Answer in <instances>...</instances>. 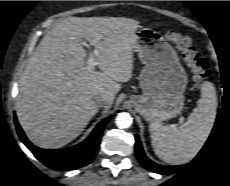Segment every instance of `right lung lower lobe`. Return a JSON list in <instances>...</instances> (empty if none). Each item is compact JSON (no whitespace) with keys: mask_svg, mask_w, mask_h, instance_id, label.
<instances>
[{"mask_svg":"<svg viewBox=\"0 0 230 186\" xmlns=\"http://www.w3.org/2000/svg\"><path fill=\"white\" fill-rule=\"evenodd\" d=\"M14 120L20 139L35 157L46 166L59 171L73 170L89 164L98 152L102 132L108 122V120H105L99 123L90 136L76 146L66 149L46 150L31 144L24 135L16 117H14Z\"/></svg>","mask_w":230,"mask_h":186,"instance_id":"1","label":"right lung lower lobe"}]
</instances>
